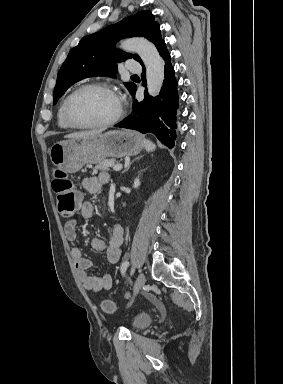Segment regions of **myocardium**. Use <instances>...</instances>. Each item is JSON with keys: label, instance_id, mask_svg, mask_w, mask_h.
<instances>
[{"label": "myocardium", "instance_id": "obj_1", "mask_svg": "<svg viewBox=\"0 0 283 384\" xmlns=\"http://www.w3.org/2000/svg\"><path fill=\"white\" fill-rule=\"evenodd\" d=\"M93 89L103 90V91L109 92L110 94H112L115 97L116 102H117L116 113L114 114V116L112 118H110L107 121L101 122V123H96V124H92V125H84V126L74 124L70 118V115H69V109H70V105H71L72 100L79 93L86 91V90H93ZM122 114H123L122 103H121L119 97L117 96L115 89L111 85H109L107 83H101V82L88 83V84H84V85L78 87L77 89H75L73 92H71L67 96L65 103H64V107H63V120H64L65 124L70 129H73V130H99V129L108 128V127L116 124L119 121V119L121 118Z\"/></svg>", "mask_w": 283, "mask_h": 384}]
</instances>
